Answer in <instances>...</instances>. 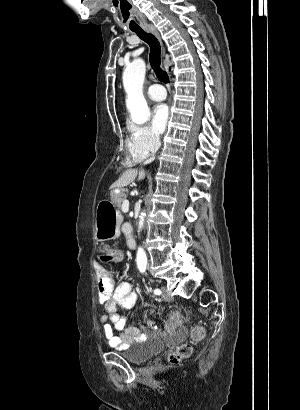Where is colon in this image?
<instances>
[{
	"label": "colon",
	"mask_w": 300,
	"mask_h": 410,
	"mask_svg": "<svg viewBox=\"0 0 300 410\" xmlns=\"http://www.w3.org/2000/svg\"><path fill=\"white\" fill-rule=\"evenodd\" d=\"M122 254V250L118 247H110L105 250V252L100 256V262L103 264H113L116 263ZM177 310L176 312H171L169 314V323L173 327H180L184 321L182 315ZM206 331L204 327H195L192 330V336L195 340H201L205 337ZM192 352V347L189 344H182L178 347L177 351L171 353L168 356V361L172 364L179 363L183 358L188 357Z\"/></svg>",
	"instance_id": "1"
}]
</instances>
